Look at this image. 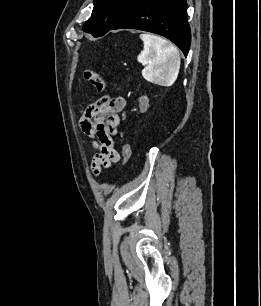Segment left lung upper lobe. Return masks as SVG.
Returning a JSON list of instances; mask_svg holds the SVG:
<instances>
[{"instance_id":"obj_1","label":"left lung upper lobe","mask_w":261,"mask_h":306,"mask_svg":"<svg viewBox=\"0 0 261 306\" xmlns=\"http://www.w3.org/2000/svg\"><path fill=\"white\" fill-rule=\"evenodd\" d=\"M133 0H94L91 17L85 22L83 31L100 37L107 33L122 17Z\"/></svg>"}]
</instances>
